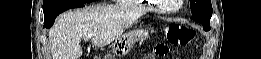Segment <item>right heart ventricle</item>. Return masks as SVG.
<instances>
[{
  "mask_svg": "<svg viewBox=\"0 0 261 59\" xmlns=\"http://www.w3.org/2000/svg\"><path fill=\"white\" fill-rule=\"evenodd\" d=\"M124 2H127V3H133V2H138V1H132V0H124ZM142 2V1H141ZM146 10H151L152 9V7H146L145 8Z\"/></svg>",
  "mask_w": 261,
  "mask_h": 59,
  "instance_id": "1",
  "label": "right heart ventricle"
}]
</instances>
